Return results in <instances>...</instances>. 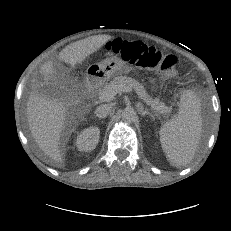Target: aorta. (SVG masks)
Masks as SVG:
<instances>
[{"instance_id": "aorta-1", "label": "aorta", "mask_w": 231, "mask_h": 231, "mask_svg": "<svg viewBox=\"0 0 231 231\" xmlns=\"http://www.w3.org/2000/svg\"><path fill=\"white\" fill-rule=\"evenodd\" d=\"M122 119L127 123H131L136 119V111L132 107H126L122 112Z\"/></svg>"}]
</instances>
